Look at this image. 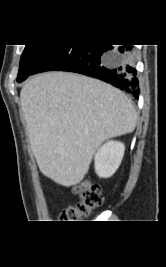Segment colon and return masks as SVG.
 Masks as SVG:
<instances>
[{
  "label": "colon",
  "mask_w": 166,
  "mask_h": 267,
  "mask_svg": "<svg viewBox=\"0 0 166 267\" xmlns=\"http://www.w3.org/2000/svg\"><path fill=\"white\" fill-rule=\"evenodd\" d=\"M79 201L65 208L61 213V222L76 223L90 216L92 212L103 204L104 198L98 185L88 181L77 186Z\"/></svg>",
  "instance_id": "obj_1"
}]
</instances>
